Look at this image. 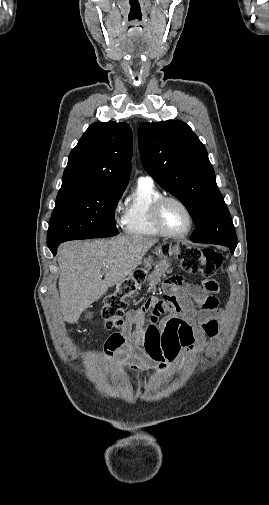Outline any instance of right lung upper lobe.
I'll return each instance as SVG.
<instances>
[{"mask_svg":"<svg viewBox=\"0 0 269 505\" xmlns=\"http://www.w3.org/2000/svg\"><path fill=\"white\" fill-rule=\"evenodd\" d=\"M132 131L126 123H93L71 150L62 187L125 190L131 169Z\"/></svg>","mask_w":269,"mask_h":505,"instance_id":"obj_1","label":"right lung upper lobe"}]
</instances>
